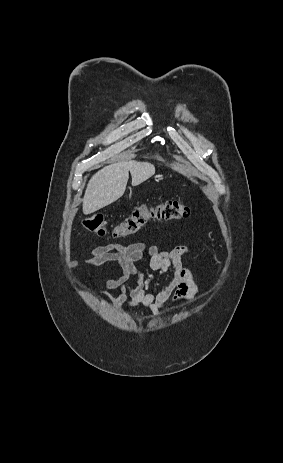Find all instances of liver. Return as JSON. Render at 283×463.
<instances>
[{
    "instance_id": "1",
    "label": "liver",
    "mask_w": 283,
    "mask_h": 463,
    "mask_svg": "<svg viewBox=\"0 0 283 463\" xmlns=\"http://www.w3.org/2000/svg\"><path fill=\"white\" fill-rule=\"evenodd\" d=\"M137 186L155 174V166L149 162L121 161L110 164L90 179L83 198V213L91 214L123 196L129 179Z\"/></svg>"
}]
</instances>
